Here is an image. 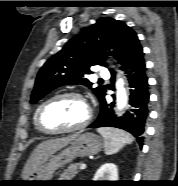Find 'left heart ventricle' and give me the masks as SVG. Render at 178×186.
Returning a JSON list of instances; mask_svg holds the SVG:
<instances>
[{"mask_svg":"<svg viewBox=\"0 0 178 186\" xmlns=\"http://www.w3.org/2000/svg\"><path fill=\"white\" fill-rule=\"evenodd\" d=\"M87 109L82 101L65 97L49 104L43 113V123L48 129L60 130L77 126L86 117Z\"/></svg>","mask_w":178,"mask_h":186,"instance_id":"left-heart-ventricle-1","label":"left heart ventricle"}]
</instances>
